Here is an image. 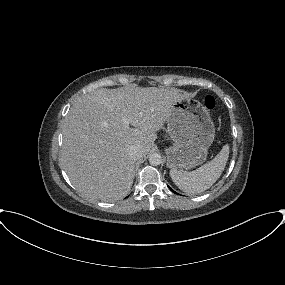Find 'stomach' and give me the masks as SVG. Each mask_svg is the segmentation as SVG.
Returning a JSON list of instances; mask_svg holds the SVG:
<instances>
[{
	"label": "stomach",
	"mask_w": 285,
	"mask_h": 285,
	"mask_svg": "<svg viewBox=\"0 0 285 285\" xmlns=\"http://www.w3.org/2000/svg\"><path fill=\"white\" fill-rule=\"evenodd\" d=\"M167 131L174 142L166 149L170 168L190 169L206 160L215 128L208 110L199 101L183 98L176 102L167 119Z\"/></svg>",
	"instance_id": "obj_1"
}]
</instances>
